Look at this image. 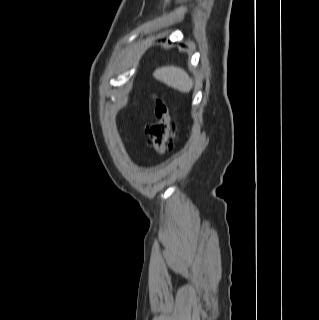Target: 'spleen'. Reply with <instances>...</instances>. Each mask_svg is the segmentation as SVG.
Instances as JSON below:
<instances>
[{
  "label": "spleen",
  "mask_w": 319,
  "mask_h": 320,
  "mask_svg": "<svg viewBox=\"0 0 319 320\" xmlns=\"http://www.w3.org/2000/svg\"><path fill=\"white\" fill-rule=\"evenodd\" d=\"M155 79L161 81L169 87H172L183 93H188L193 88V81L190 76L180 67L165 66L156 69L153 72Z\"/></svg>",
  "instance_id": "spleen-1"
}]
</instances>
